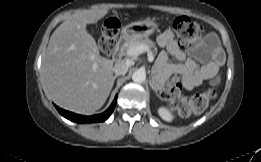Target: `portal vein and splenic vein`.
I'll return each mask as SVG.
<instances>
[{"label":"portal vein and splenic vein","instance_id":"obj_1","mask_svg":"<svg viewBox=\"0 0 261 162\" xmlns=\"http://www.w3.org/2000/svg\"><path fill=\"white\" fill-rule=\"evenodd\" d=\"M144 52H147V53H148V61H149V62H153V60H154V55H153V53L150 51L149 46H147V45L141 44V45L131 46V47H129V48L126 50V55H127V56H130V57H131V56L134 57V56H138V55H140V54H142V53H144Z\"/></svg>","mask_w":261,"mask_h":162}]
</instances>
